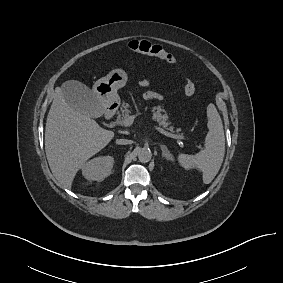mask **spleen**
I'll return each mask as SVG.
<instances>
[{
    "label": "spleen",
    "instance_id": "spleen-1",
    "mask_svg": "<svg viewBox=\"0 0 283 283\" xmlns=\"http://www.w3.org/2000/svg\"><path fill=\"white\" fill-rule=\"evenodd\" d=\"M207 127L209 129L204 149L195 155L179 154L178 162L186 170L198 168L203 182L209 184L217 175L225 154V136L221 117L214 104L207 106Z\"/></svg>",
    "mask_w": 283,
    "mask_h": 283
}]
</instances>
